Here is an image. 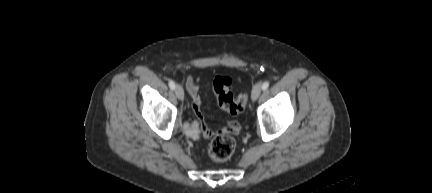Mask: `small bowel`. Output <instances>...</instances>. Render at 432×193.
Returning <instances> with one entry per match:
<instances>
[{"instance_id":"small-bowel-1","label":"small bowel","mask_w":432,"mask_h":193,"mask_svg":"<svg viewBox=\"0 0 432 193\" xmlns=\"http://www.w3.org/2000/svg\"><path fill=\"white\" fill-rule=\"evenodd\" d=\"M187 89L191 95V106L192 110L194 111L195 115L200 121H203V116L201 113V96L199 93V87L193 77H189L186 83ZM240 131V124L236 120H230L225 127L220 129L217 132H213L210 128H208L203 122H202V132L205 137H211L215 134H238Z\"/></svg>"}]
</instances>
